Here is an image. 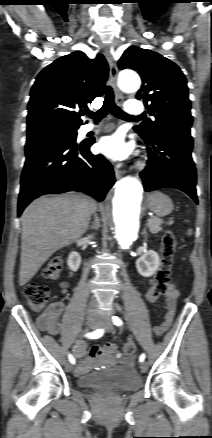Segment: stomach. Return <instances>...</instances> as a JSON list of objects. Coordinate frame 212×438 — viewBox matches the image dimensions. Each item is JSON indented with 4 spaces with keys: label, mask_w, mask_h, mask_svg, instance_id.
<instances>
[{
    "label": "stomach",
    "mask_w": 212,
    "mask_h": 438,
    "mask_svg": "<svg viewBox=\"0 0 212 438\" xmlns=\"http://www.w3.org/2000/svg\"><path fill=\"white\" fill-rule=\"evenodd\" d=\"M146 204L149 210L159 217H164L173 210L172 200L167 195L158 191L147 195Z\"/></svg>",
    "instance_id": "1"
}]
</instances>
